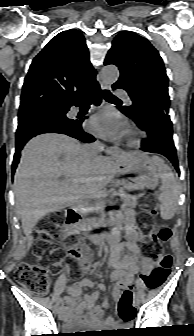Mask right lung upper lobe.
Segmentation results:
<instances>
[{"label":"right lung upper lobe","instance_id":"obj_1","mask_svg":"<svg viewBox=\"0 0 194 336\" xmlns=\"http://www.w3.org/2000/svg\"><path fill=\"white\" fill-rule=\"evenodd\" d=\"M84 36L75 29L56 35L33 59L19 111L63 108L95 80Z\"/></svg>","mask_w":194,"mask_h":336}]
</instances>
